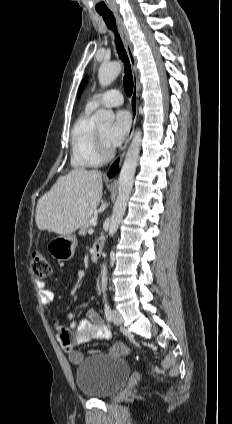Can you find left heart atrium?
<instances>
[{
  "instance_id": "39dd6f15",
  "label": "left heart atrium",
  "mask_w": 232,
  "mask_h": 424,
  "mask_svg": "<svg viewBox=\"0 0 232 424\" xmlns=\"http://www.w3.org/2000/svg\"><path fill=\"white\" fill-rule=\"evenodd\" d=\"M131 125L130 114L125 110L118 111L107 138L109 146L117 147L120 145L128 135Z\"/></svg>"
}]
</instances>
